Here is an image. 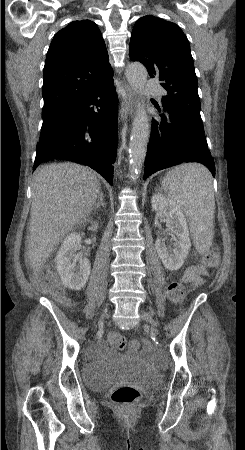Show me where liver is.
<instances>
[{
  "instance_id": "liver-1",
  "label": "liver",
  "mask_w": 245,
  "mask_h": 450,
  "mask_svg": "<svg viewBox=\"0 0 245 450\" xmlns=\"http://www.w3.org/2000/svg\"><path fill=\"white\" fill-rule=\"evenodd\" d=\"M100 193L97 177L74 163L39 168L33 180L28 260L40 271L62 238L94 209Z\"/></svg>"
}]
</instances>
